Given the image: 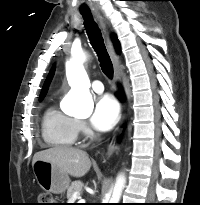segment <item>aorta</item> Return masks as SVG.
Wrapping results in <instances>:
<instances>
[{
	"instance_id": "aorta-1",
	"label": "aorta",
	"mask_w": 200,
	"mask_h": 205,
	"mask_svg": "<svg viewBox=\"0 0 200 205\" xmlns=\"http://www.w3.org/2000/svg\"><path fill=\"white\" fill-rule=\"evenodd\" d=\"M84 61V53L78 52L66 63V75L71 86L69 110L79 117H88L93 111V100L89 92L90 81L83 67ZM125 184L126 177L124 174H120L109 203H119Z\"/></svg>"
}]
</instances>
